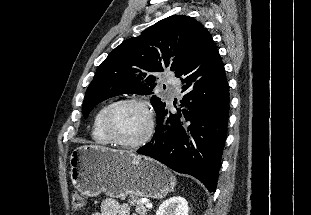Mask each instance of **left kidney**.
Here are the masks:
<instances>
[{
  "label": "left kidney",
  "instance_id": "left-kidney-1",
  "mask_svg": "<svg viewBox=\"0 0 311 215\" xmlns=\"http://www.w3.org/2000/svg\"><path fill=\"white\" fill-rule=\"evenodd\" d=\"M188 211L186 199L181 196H174L159 206L156 215H188Z\"/></svg>",
  "mask_w": 311,
  "mask_h": 215
}]
</instances>
